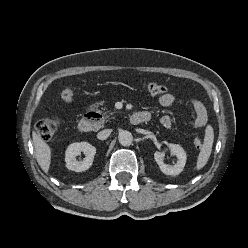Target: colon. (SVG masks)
Segmentation results:
<instances>
[{
	"mask_svg": "<svg viewBox=\"0 0 248 248\" xmlns=\"http://www.w3.org/2000/svg\"><path fill=\"white\" fill-rule=\"evenodd\" d=\"M147 91L149 94L156 96L164 94L167 91V88L162 84L149 83L147 85ZM60 97L65 102L72 101L74 98V91L72 87L67 86L63 88L60 92ZM58 127V120L51 118L42 119L37 123L38 133L43 139L46 140L51 139L56 134ZM193 143L197 149H200L202 147V141L199 138H195Z\"/></svg>",
	"mask_w": 248,
	"mask_h": 248,
	"instance_id": "obj_1",
	"label": "colon"
}]
</instances>
